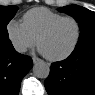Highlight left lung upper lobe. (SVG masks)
Masks as SVG:
<instances>
[{
	"label": "left lung upper lobe",
	"instance_id": "left-lung-upper-lobe-1",
	"mask_svg": "<svg viewBox=\"0 0 95 95\" xmlns=\"http://www.w3.org/2000/svg\"><path fill=\"white\" fill-rule=\"evenodd\" d=\"M59 11L73 16L79 23L81 32L76 46L95 39V12L78 5L62 7L59 8Z\"/></svg>",
	"mask_w": 95,
	"mask_h": 95
}]
</instances>
